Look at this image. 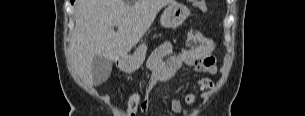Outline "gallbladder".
Instances as JSON below:
<instances>
[{
  "instance_id": "bac80fb5",
  "label": "gallbladder",
  "mask_w": 305,
  "mask_h": 116,
  "mask_svg": "<svg viewBox=\"0 0 305 116\" xmlns=\"http://www.w3.org/2000/svg\"><path fill=\"white\" fill-rule=\"evenodd\" d=\"M112 71V61L103 56L96 55L92 61V74L95 85L107 81Z\"/></svg>"
}]
</instances>
